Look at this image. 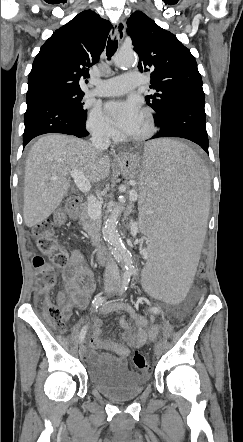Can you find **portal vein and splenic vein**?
I'll use <instances>...</instances> for the list:
<instances>
[{
    "label": "portal vein and splenic vein",
    "instance_id": "portal-vein-and-splenic-vein-1",
    "mask_svg": "<svg viewBox=\"0 0 243 442\" xmlns=\"http://www.w3.org/2000/svg\"><path fill=\"white\" fill-rule=\"evenodd\" d=\"M70 176L74 179V182L78 189L81 192L87 193L91 186L90 182L86 179L84 173L80 170H72L70 172ZM53 179H57L56 177H53ZM130 198L132 200H136L138 195L135 190H131L129 194ZM88 214L91 218L97 219L101 215V205L98 204L96 199L93 196L88 197Z\"/></svg>",
    "mask_w": 243,
    "mask_h": 442
}]
</instances>
